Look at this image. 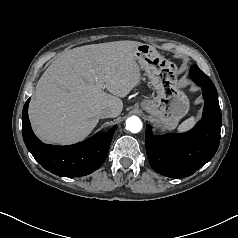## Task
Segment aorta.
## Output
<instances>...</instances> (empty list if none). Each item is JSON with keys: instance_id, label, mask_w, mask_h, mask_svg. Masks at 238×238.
<instances>
[{"instance_id": "aorta-1", "label": "aorta", "mask_w": 238, "mask_h": 238, "mask_svg": "<svg viewBox=\"0 0 238 238\" xmlns=\"http://www.w3.org/2000/svg\"><path fill=\"white\" fill-rule=\"evenodd\" d=\"M142 121L137 116H131L126 120V129L132 133H138L142 129Z\"/></svg>"}]
</instances>
